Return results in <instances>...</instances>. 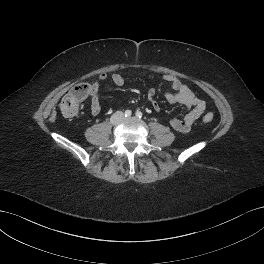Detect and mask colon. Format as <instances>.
<instances>
[{
  "label": "colon",
  "instance_id": "5ec220e1",
  "mask_svg": "<svg viewBox=\"0 0 264 264\" xmlns=\"http://www.w3.org/2000/svg\"><path fill=\"white\" fill-rule=\"evenodd\" d=\"M91 90V84L83 83L66 94L60 103L62 114L66 117L75 116L78 113L81 103L90 96ZM212 120L213 115L211 113H207L203 118V121L206 123H209Z\"/></svg>",
  "mask_w": 264,
  "mask_h": 264
}]
</instances>
